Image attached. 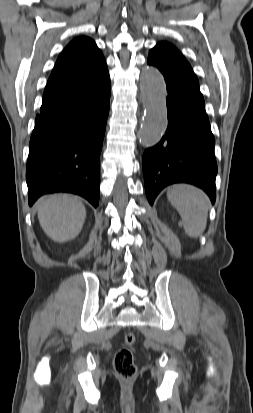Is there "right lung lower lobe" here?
<instances>
[{
  "label": "right lung lower lobe",
  "mask_w": 253,
  "mask_h": 413,
  "mask_svg": "<svg viewBox=\"0 0 253 413\" xmlns=\"http://www.w3.org/2000/svg\"><path fill=\"white\" fill-rule=\"evenodd\" d=\"M110 89L108 75L96 92L36 117L26 166L30 206L43 194L70 192L97 207Z\"/></svg>",
  "instance_id": "obj_1"
}]
</instances>
